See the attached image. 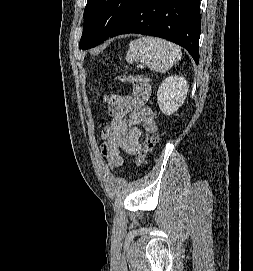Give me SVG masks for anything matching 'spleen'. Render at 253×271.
<instances>
[{"instance_id": "spleen-1", "label": "spleen", "mask_w": 253, "mask_h": 271, "mask_svg": "<svg viewBox=\"0 0 253 271\" xmlns=\"http://www.w3.org/2000/svg\"><path fill=\"white\" fill-rule=\"evenodd\" d=\"M181 56L180 47L169 41L156 37H141L130 42L126 61L141 62L151 71L165 73Z\"/></svg>"}]
</instances>
